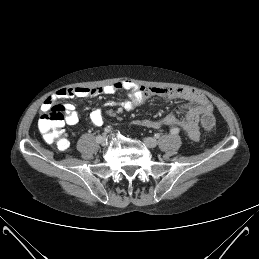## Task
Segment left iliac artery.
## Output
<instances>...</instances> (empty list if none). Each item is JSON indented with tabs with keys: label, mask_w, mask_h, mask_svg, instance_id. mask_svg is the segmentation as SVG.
<instances>
[{
	"label": "left iliac artery",
	"mask_w": 259,
	"mask_h": 259,
	"mask_svg": "<svg viewBox=\"0 0 259 259\" xmlns=\"http://www.w3.org/2000/svg\"><path fill=\"white\" fill-rule=\"evenodd\" d=\"M171 134H177L179 132V129L178 128H172L170 130Z\"/></svg>",
	"instance_id": "1"
}]
</instances>
